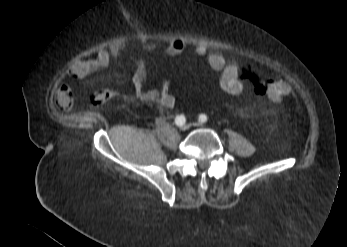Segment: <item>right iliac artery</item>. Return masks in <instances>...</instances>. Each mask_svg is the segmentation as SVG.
<instances>
[{"label": "right iliac artery", "mask_w": 347, "mask_h": 247, "mask_svg": "<svg viewBox=\"0 0 347 247\" xmlns=\"http://www.w3.org/2000/svg\"><path fill=\"white\" fill-rule=\"evenodd\" d=\"M185 122H186V118L183 114L176 116L175 118L176 125L182 126L185 124Z\"/></svg>", "instance_id": "obj_1"}]
</instances>
